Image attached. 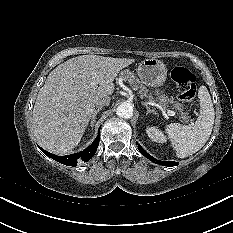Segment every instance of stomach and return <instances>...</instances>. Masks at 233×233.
I'll use <instances>...</instances> for the list:
<instances>
[{"mask_svg": "<svg viewBox=\"0 0 233 233\" xmlns=\"http://www.w3.org/2000/svg\"><path fill=\"white\" fill-rule=\"evenodd\" d=\"M137 74L143 84L156 88L155 94H158L159 90L157 88L162 86L167 78V68L158 59H145L139 64Z\"/></svg>", "mask_w": 233, "mask_h": 233, "instance_id": "0dacf381", "label": "stomach"}]
</instances>
